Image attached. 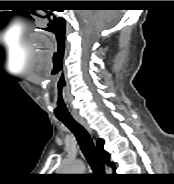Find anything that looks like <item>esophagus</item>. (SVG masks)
Here are the masks:
<instances>
[{"label": "esophagus", "mask_w": 174, "mask_h": 184, "mask_svg": "<svg viewBox=\"0 0 174 184\" xmlns=\"http://www.w3.org/2000/svg\"><path fill=\"white\" fill-rule=\"evenodd\" d=\"M75 119H76L81 125H83V126L88 130V132L92 133L91 128L89 127V125L85 122V120H84L82 117L76 116Z\"/></svg>", "instance_id": "1"}]
</instances>
